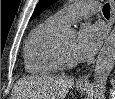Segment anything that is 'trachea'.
<instances>
[{
    "label": "trachea",
    "mask_w": 115,
    "mask_h": 99,
    "mask_svg": "<svg viewBox=\"0 0 115 99\" xmlns=\"http://www.w3.org/2000/svg\"><path fill=\"white\" fill-rule=\"evenodd\" d=\"M103 14L105 17L109 18L110 17V6H109V3H106L104 6H103Z\"/></svg>",
    "instance_id": "trachea-1"
}]
</instances>
